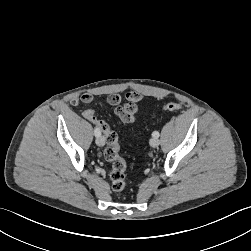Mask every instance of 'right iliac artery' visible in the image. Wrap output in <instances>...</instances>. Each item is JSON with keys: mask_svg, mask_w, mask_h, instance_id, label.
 Instances as JSON below:
<instances>
[{"mask_svg": "<svg viewBox=\"0 0 251 251\" xmlns=\"http://www.w3.org/2000/svg\"><path fill=\"white\" fill-rule=\"evenodd\" d=\"M94 134L96 137L100 136V134H101L100 130L97 127H95V129H94Z\"/></svg>", "mask_w": 251, "mask_h": 251, "instance_id": "82829eb1", "label": "right iliac artery"}]
</instances>
